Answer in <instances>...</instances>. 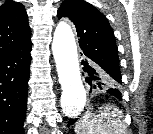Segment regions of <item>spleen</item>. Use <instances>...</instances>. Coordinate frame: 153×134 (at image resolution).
<instances>
[{
    "label": "spleen",
    "mask_w": 153,
    "mask_h": 134,
    "mask_svg": "<svg viewBox=\"0 0 153 134\" xmlns=\"http://www.w3.org/2000/svg\"><path fill=\"white\" fill-rule=\"evenodd\" d=\"M123 111L113 104L99 107V111L87 110L75 126L76 134H125Z\"/></svg>",
    "instance_id": "spleen-1"
}]
</instances>
